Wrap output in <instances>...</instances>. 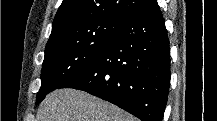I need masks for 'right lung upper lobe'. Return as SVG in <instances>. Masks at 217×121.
<instances>
[{"mask_svg": "<svg viewBox=\"0 0 217 121\" xmlns=\"http://www.w3.org/2000/svg\"><path fill=\"white\" fill-rule=\"evenodd\" d=\"M153 0H63L53 24L49 42L70 28L101 19L127 21Z\"/></svg>", "mask_w": 217, "mask_h": 121, "instance_id": "cb5924a9", "label": "right lung upper lobe"}]
</instances>
